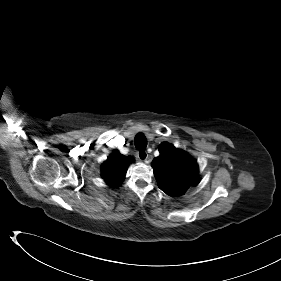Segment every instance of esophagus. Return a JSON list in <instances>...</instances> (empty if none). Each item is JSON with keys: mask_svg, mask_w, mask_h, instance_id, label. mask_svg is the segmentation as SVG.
Masks as SVG:
<instances>
[{"mask_svg": "<svg viewBox=\"0 0 281 281\" xmlns=\"http://www.w3.org/2000/svg\"><path fill=\"white\" fill-rule=\"evenodd\" d=\"M137 158L140 161H146L148 158V153L146 152V150L141 149L137 152Z\"/></svg>", "mask_w": 281, "mask_h": 281, "instance_id": "obj_1", "label": "esophagus"}]
</instances>
